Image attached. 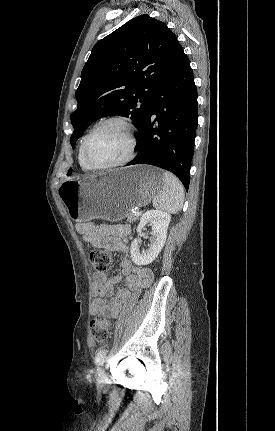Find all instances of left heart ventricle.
Wrapping results in <instances>:
<instances>
[{"label": "left heart ventricle", "instance_id": "b2bd125f", "mask_svg": "<svg viewBox=\"0 0 275 431\" xmlns=\"http://www.w3.org/2000/svg\"><path fill=\"white\" fill-rule=\"evenodd\" d=\"M129 149L126 129L119 123L99 128L89 139L87 156L93 164H111L123 159Z\"/></svg>", "mask_w": 275, "mask_h": 431}]
</instances>
